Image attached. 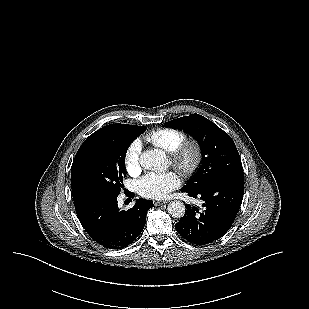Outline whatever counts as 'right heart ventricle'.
Masks as SVG:
<instances>
[{"label":"right heart ventricle","instance_id":"obj_1","mask_svg":"<svg viewBox=\"0 0 309 309\" xmlns=\"http://www.w3.org/2000/svg\"><path fill=\"white\" fill-rule=\"evenodd\" d=\"M186 139L183 131L174 128H160L145 136V140L152 145L171 153Z\"/></svg>","mask_w":309,"mask_h":309}]
</instances>
